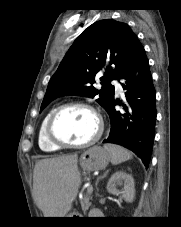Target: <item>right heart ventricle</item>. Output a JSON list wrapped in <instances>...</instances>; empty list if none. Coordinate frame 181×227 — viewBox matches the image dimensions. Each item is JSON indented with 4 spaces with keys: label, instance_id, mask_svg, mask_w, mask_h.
I'll return each mask as SVG.
<instances>
[{
    "label": "right heart ventricle",
    "instance_id": "obj_1",
    "mask_svg": "<svg viewBox=\"0 0 181 227\" xmlns=\"http://www.w3.org/2000/svg\"><path fill=\"white\" fill-rule=\"evenodd\" d=\"M53 110H50L43 118L40 128H39V133H38V145L41 150L45 152H56L60 149V147L55 146L50 140L48 139L46 135V125L48 122V119L51 115Z\"/></svg>",
    "mask_w": 181,
    "mask_h": 227
}]
</instances>
